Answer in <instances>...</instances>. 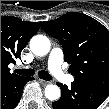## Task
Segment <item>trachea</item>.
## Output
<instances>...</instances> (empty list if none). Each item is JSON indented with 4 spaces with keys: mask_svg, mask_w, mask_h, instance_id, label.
I'll use <instances>...</instances> for the list:
<instances>
[{
    "mask_svg": "<svg viewBox=\"0 0 109 109\" xmlns=\"http://www.w3.org/2000/svg\"><path fill=\"white\" fill-rule=\"evenodd\" d=\"M15 72L22 76H27V77H31L35 73L33 69H17L15 70ZM38 75L43 80H47V81L52 80V76L45 70L39 71Z\"/></svg>",
    "mask_w": 109,
    "mask_h": 109,
    "instance_id": "1",
    "label": "trachea"
}]
</instances>
